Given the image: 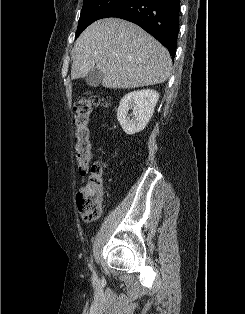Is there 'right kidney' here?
I'll return each instance as SVG.
<instances>
[{
  "label": "right kidney",
  "instance_id": "obj_1",
  "mask_svg": "<svg viewBox=\"0 0 245 314\" xmlns=\"http://www.w3.org/2000/svg\"><path fill=\"white\" fill-rule=\"evenodd\" d=\"M158 99L159 94L150 89L126 94L117 110V120L123 131L128 135L142 131L151 119ZM130 109H132V118L128 116Z\"/></svg>",
  "mask_w": 245,
  "mask_h": 314
}]
</instances>
